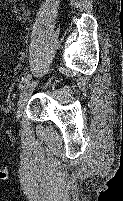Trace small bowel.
Masks as SVG:
<instances>
[{"instance_id": "c3829d8e", "label": "small bowel", "mask_w": 123, "mask_h": 201, "mask_svg": "<svg viewBox=\"0 0 123 201\" xmlns=\"http://www.w3.org/2000/svg\"><path fill=\"white\" fill-rule=\"evenodd\" d=\"M1 55H2V50H1V48H0V56H1ZM17 57H18V59H19L20 61H24V60L26 59V57H27L26 51H25L24 49H19V50L17 51ZM21 69H22V65H21V64H18V65L15 66L14 71H15V72H19V71H21Z\"/></svg>"}]
</instances>
